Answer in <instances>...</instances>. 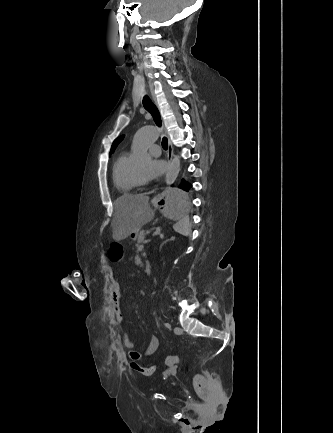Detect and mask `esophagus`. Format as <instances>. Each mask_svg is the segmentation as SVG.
<instances>
[{
  "label": "esophagus",
  "instance_id": "1",
  "mask_svg": "<svg viewBox=\"0 0 333 433\" xmlns=\"http://www.w3.org/2000/svg\"><path fill=\"white\" fill-rule=\"evenodd\" d=\"M163 132L166 134L167 138H168V148H167V160H168V165L171 164L172 161V157H173V145L172 142L168 136L167 130L163 125Z\"/></svg>",
  "mask_w": 333,
  "mask_h": 433
}]
</instances>
